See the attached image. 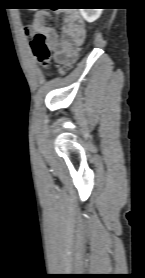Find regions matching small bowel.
I'll return each instance as SVG.
<instances>
[{"label": "small bowel", "mask_w": 145, "mask_h": 278, "mask_svg": "<svg viewBox=\"0 0 145 278\" xmlns=\"http://www.w3.org/2000/svg\"><path fill=\"white\" fill-rule=\"evenodd\" d=\"M45 13H38L34 16L32 23L25 29V32L42 33L53 53V61L61 66L72 61L77 55L78 47L84 42L86 31L82 20L75 12L65 15L61 32L44 23Z\"/></svg>", "instance_id": "small-bowel-1"}]
</instances>
